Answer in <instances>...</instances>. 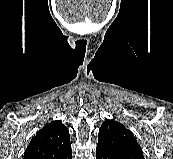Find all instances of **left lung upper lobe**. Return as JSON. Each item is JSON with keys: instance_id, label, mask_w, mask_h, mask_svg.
<instances>
[{"instance_id": "obj_1", "label": "left lung upper lobe", "mask_w": 173, "mask_h": 159, "mask_svg": "<svg viewBox=\"0 0 173 159\" xmlns=\"http://www.w3.org/2000/svg\"><path fill=\"white\" fill-rule=\"evenodd\" d=\"M97 147L118 159H144L134 135L113 119L106 120L101 125Z\"/></svg>"}]
</instances>
